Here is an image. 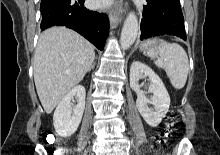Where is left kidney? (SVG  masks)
Returning a JSON list of instances; mask_svg holds the SVG:
<instances>
[{"instance_id": "1", "label": "left kidney", "mask_w": 220, "mask_h": 155, "mask_svg": "<svg viewBox=\"0 0 220 155\" xmlns=\"http://www.w3.org/2000/svg\"><path fill=\"white\" fill-rule=\"evenodd\" d=\"M148 77L151 84L148 92L153 96L148 99L145 91L140 89L139 80ZM130 87L136 92V107L143 119L151 127H157L165 117L170 106V96L159 76L146 64L134 61L130 67ZM148 104L154 106L149 108Z\"/></svg>"}]
</instances>
